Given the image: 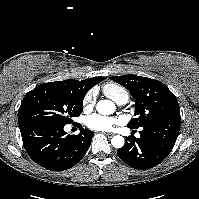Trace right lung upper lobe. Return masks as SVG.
<instances>
[{
    "instance_id": "obj_1",
    "label": "right lung upper lobe",
    "mask_w": 199,
    "mask_h": 199,
    "mask_svg": "<svg viewBox=\"0 0 199 199\" xmlns=\"http://www.w3.org/2000/svg\"><path fill=\"white\" fill-rule=\"evenodd\" d=\"M103 78L101 77H94L90 79H85L83 81L78 80H64V81H57V82H50V83H44L35 88V90H38L40 88H44L45 85H53L56 87H59L67 92H70L77 96H85V94L96 84L101 82Z\"/></svg>"
}]
</instances>
